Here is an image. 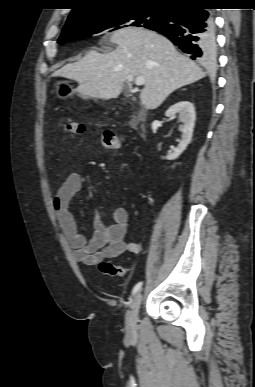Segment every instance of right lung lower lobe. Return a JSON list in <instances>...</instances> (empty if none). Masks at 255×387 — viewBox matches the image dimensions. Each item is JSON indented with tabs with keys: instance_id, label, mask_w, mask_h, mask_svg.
I'll return each instance as SVG.
<instances>
[{
	"instance_id": "98d812e1",
	"label": "right lung lower lobe",
	"mask_w": 255,
	"mask_h": 387,
	"mask_svg": "<svg viewBox=\"0 0 255 387\" xmlns=\"http://www.w3.org/2000/svg\"><path fill=\"white\" fill-rule=\"evenodd\" d=\"M202 2L168 8L165 21L150 28L168 37L192 59L211 64L216 59L215 24Z\"/></svg>"
}]
</instances>
